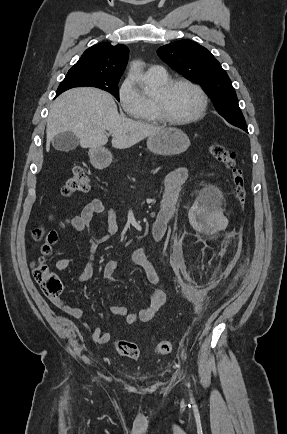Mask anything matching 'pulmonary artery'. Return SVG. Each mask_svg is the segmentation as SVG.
Wrapping results in <instances>:
<instances>
[{"mask_svg":"<svg viewBox=\"0 0 287 434\" xmlns=\"http://www.w3.org/2000/svg\"><path fill=\"white\" fill-rule=\"evenodd\" d=\"M148 74L152 77L161 78L166 75V71L159 65H153L148 69Z\"/></svg>","mask_w":287,"mask_h":434,"instance_id":"e3ab8cb5","label":"pulmonary artery"}]
</instances>
